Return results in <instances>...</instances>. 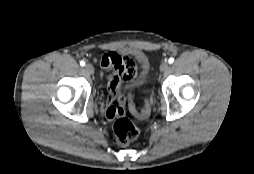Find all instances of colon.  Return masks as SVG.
Returning <instances> with one entry per match:
<instances>
[{"label": "colon", "instance_id": "1", "mask_svg": "<svg viewBox=\"0 0 254 174\" xmlns=\"http://www.w3.org/2000/svg\"><path fill=\"white\" fill-rule=\"evenodd\" d=\"M128 96L130 100L133 99L134 91L132 89L129 90ZM129 109L131 113L138 118H146L150 114V105L148 102H146L144 109L138 112L133 102L131 101L129 103ZM113 113L115 117H117V120L115 121L113 125L116 141L120 145H128L139 136V129L131 121L124 118V114H125L124 105H120L119 107L114 109Z\"/></svg>", "mask_w": 254, "mask_h": 174}]
</instances>
